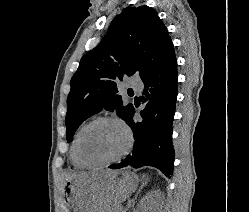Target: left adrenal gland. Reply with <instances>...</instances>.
Wrapping results in <instances>:
<instances>
[{
    "instance_id": "1",
    "label": "left adrenal gland",
    "mask_w": 249,
    "mask_h": 212,
    "mask_svg": "<svg viewBox=\"0 0 249 212\" xmlns=\"http://www.w3.org/2000/svg\"><path fill=\"white\" fill-rule=\"evenodd\" d=\"M145 184H146V182H142V186H140V190H139L138 194H140L141 190H143ZM131 208H133V206H131Z\"/></svg>"
}]
</instances>
